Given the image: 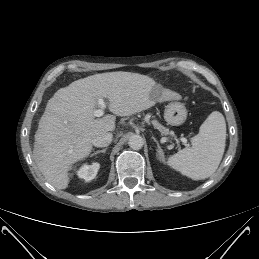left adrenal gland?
Returning a JSON list of instances; mask_svg holds the SVG:
<instances>
[{"mask_svg":"<svg viewBox=\"0 0 259 259\" xmlns=\"http://www.w3.org/2000/svg\"><path fill=\"white\" fill-rule=\"evenodd\" d=\"M152 139L154 140V142L157 144V147H158V149H157V156H158L160 159H162L163 161H165L164 152H163V150H162V148H161L159 142L156 140L155 137H152Z\"/></svg>","mask_w":259,"mask_h":259,"instance_id":"1","label":"left adrenal gland"}]
</instances>
